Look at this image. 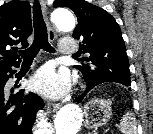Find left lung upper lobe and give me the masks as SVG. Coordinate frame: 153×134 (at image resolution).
I'll use <instances>...</instances> for the list:
<instances>
[{
    "label": "left lung upper lobe",
    "instance_id": "obj_1",
    "mask_svg": "<svg viewBox=\"0 0 153 134\" xmlns=\"http://www.w3.org/2000/svg\"><path fill=\"white\" fill-rule=\"evenodd\" d=\"M54 7H68L77 16L78 26L73 32L76 39L83 38L80 48L88 57V64L75 66L88 85L106 82L129 86L130 70L121 30L104 9L85 0H55Z\"/></svg>",
    "mask_w": 153,
    "mask_h": 134
}]
</instances>
